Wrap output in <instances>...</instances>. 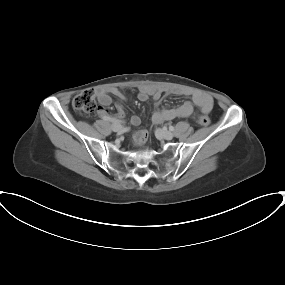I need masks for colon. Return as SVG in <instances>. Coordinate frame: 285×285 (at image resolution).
Wrapping results in <instances>:
<instances>
[{
  "label": "colon",
  "mask_w": 285,
  "mask_h": 285,
  "mask_svg": "<svg viewBox=\"0 0 285 285\" xmlns=\"http://www.w3.org/2000/svg\"><path fill=\"white\" fill-rule=\"evenodd\" d=\"M73 107L83 113H92L97 108L96 92L92 89L85 90L74 97L72 101ZM198 124L207 126L210 124V119L205 115L197 117Z\"/></svg>",
  "instance_id": "5ec220e1"
}]
</instances>
